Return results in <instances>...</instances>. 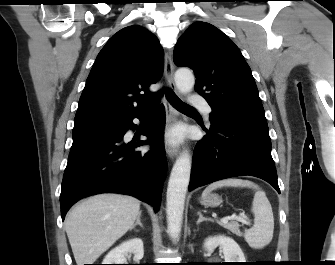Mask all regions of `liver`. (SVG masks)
I'll return each instance as SVG.
<instances>
[{"instance_id":"liver-1","label":"liver","mask_w":335,"mask_h":265,"mask_svg":"<svg viewBox=\"0 0 335 265\" xmlns=\"http://www.w3.org/2000/svg\"><path fill=\"white\" fill-rule=\"evenodd\" d=\"M140 202L131 196L99 194L77 204L65 230L77 265L93 264L133 226Z\"/></svg>"}]
</instances>
